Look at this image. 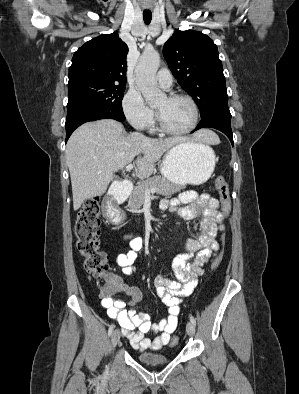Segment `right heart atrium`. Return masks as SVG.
I'll return each instance as SVG.
<instances>
[{"instance_id": "d8ad5b80", "label": "right heart atrium", "mask_w": 299, "mask_h": 394, "mask_svg": "<svg viewBox=\"0 0 299 394\" xmlns=\"http://www.w3.org/2000/svg\"><path fill=\"white\" fill-rule=\"evenodd\" d=\"M123 111L128 122L136 129L145 130L154 122V111L148 107L136 89H130L124 96Z\"/></svg>"}]
</instances>
